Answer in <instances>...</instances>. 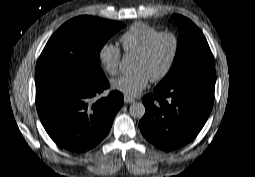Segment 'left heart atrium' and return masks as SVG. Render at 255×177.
Returning a JSON list of instances; mask_svg holds the SVG:
<instances>
[{"label": "left heart atrium", "instance_id": "obj_1", "mask_svg": "<svg viewBox=\"0 0 255 177\" xmlns=\"http://www.w3.org/2000/svg\"><path fill=\"white\" fill-rule=\"evenodd\" d=\"M148 77L141 71L134 72L130 75H123L112 82V88L122 92L128 97L139 95L148 84Z\"/></svg>", "mask_w": 255, "mask_h": 177}]
</instances>
